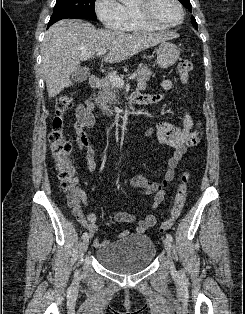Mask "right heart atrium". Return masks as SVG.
<instances>
[{
	"mask_svg": "<svg viewBox=\"0 0 245 314\" xmlns=\"http://www.w3.org/2000/svg\"><path fill=\"white\" fill-rule=\"evenodd\" d=\"M94 8L104 27L115 31H120L123 28V5L118 0H95Z\"/></svg>",
	"mask_w": 245,
	"mask_h": 314,
	"instance_id": "d8ad5b80",
	"label": "right heart atrium"
}]
</instances>
